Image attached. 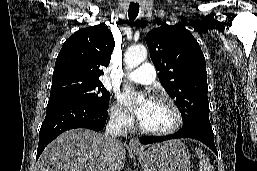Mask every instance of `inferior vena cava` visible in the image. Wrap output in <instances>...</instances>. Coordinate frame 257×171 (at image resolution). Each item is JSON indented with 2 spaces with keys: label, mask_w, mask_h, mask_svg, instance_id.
<instances>
[{
  "label": "inferior vena cava",
  "mask_w": 257,
  "mask_h": 171,
  "mask_svg": "<svg viewBox=\"0 0 257 171\" xmlns=\"http://www.w3.org/2000/svg\"><path fill=\"white\" fill-rule=\"evenodd\" d=\"M127 129L125 127V117L122 115H112L106 126L105 136L109 142L108 155L111 158L115 156L116 149V137L117 136H126Z\"/></svg>",
  "instance_id": "1"
}]
</instances>
